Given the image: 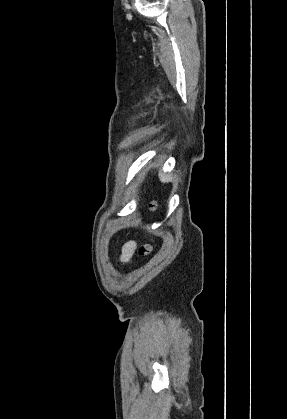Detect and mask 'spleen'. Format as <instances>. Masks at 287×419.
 Instances as JSON below:
<instances>
[{
	"label": "spleen",
	"mask_w": 287,
	"mask_h": 419,
	"mask_svg": "<svg viewBox=\"0 0 287 419\" xmlns=\"http://www.w3.org/2000/svg\"><path fill=\"white\" fill-rule=\"evenodd\" d=\"M161 182H170L172 180V177L170 175H160Z\"/></svg>",
	"instance_id": "obj_1"
}]
</instances>
